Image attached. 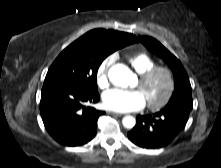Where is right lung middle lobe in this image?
<instances>
[{"mask_svg":"<svg viewBox=\"0 0 221 168\" xmlns=\"http://www.w3.org/2000/svg\"><path fill=\"white\" fill-rule=\"evenodd\" d=\"M128 45L86 33L66 47L49 68L44 83H67L90 92L97 90V71L111 53Z\"/></svg>","mask_w":221,"mask_h":168,"instance_id":"right-lung-middle-lobe-1","label":"right lung middle lobe"}]
</instances>
